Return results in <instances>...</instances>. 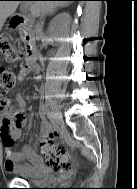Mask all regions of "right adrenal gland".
Segmentation results:
<instances>
[{"label":"right adrenal gland","mask_w":137,"mask_h":189,"mask_svg":"<svg viewBox=\"0 0 137 189\" xmlns=\"http://www.w3.org/2000/svg\"><path fill=\"white\" fill-rule=\"evenodd\" d=\"M64 6H65V4H61L60 6H58V8H56L54 12L50 13V16L54 15V13H56L59 8H62Z\"/></svg>","instance_id":"2a0ac1e0"}]
</instances>
